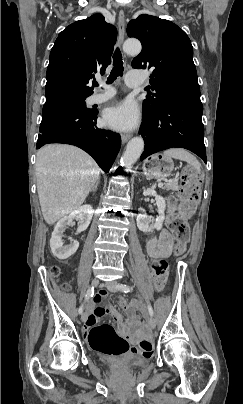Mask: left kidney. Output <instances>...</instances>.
Segmentation results:
<instances>
[{
	"label": "left kidney",
	"mask_w": 243,
	"mask_h": 404,
	"mask_svg": "<svg viewBox=\"0 0 243 404\" xmlns=\"http://www.w3.org/2000/svg\"><path fill=\"white\" fill-rule=\"evenodd\" d=\"M143 196H155L159 216H157L156 220H151V218L145 214V210H143V208H139L142 214H138L137 216V228H139L141 232H153V230H161L162 224L165 220L166 210V202L164 198H162V196H157L155 190H152V188H147V190H144ZM150 222H153V224H151V228L149 226Z\"/></svg>",
	"instance_id": "obj_1"
}]
</instances>
